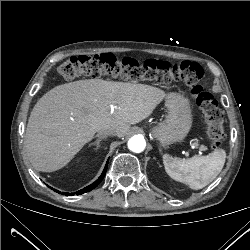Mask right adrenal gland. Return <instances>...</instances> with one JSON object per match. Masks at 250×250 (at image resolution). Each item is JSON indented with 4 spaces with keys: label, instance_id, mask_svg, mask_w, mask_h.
Wrapping results in <instances>:
<instances>
[{
    "label": "right adrenal gland",
    "instance_id": "2a0ac1e0",
    "mask_svg": "<svg viewBox=\"0 0 250 250\" xmlns=\"http://www.w3.org/2000/svg\"><path fill=\"white\" fill-rule=\"evenodd\" d=\"M106 137H99L97 140H95L94 142H92L91 144H89V146L95 145L96 146V150L100 148V142L102 140H105Z\"/></svg>",
    "mask_w": 250,
    "mask_h": 250
}]
</instances>
